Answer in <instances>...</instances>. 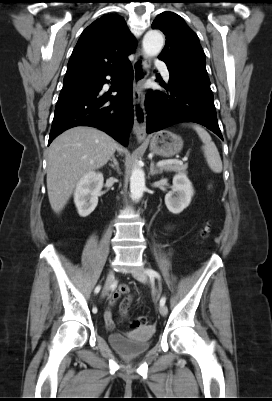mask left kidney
Wrapping results in <instances>:
<instances>
[{
    "instance_id": "left-kidney-1",
    "label": "left kidney",
    "mask_w": 272,
    "mask_h": 401,
    "mask_svg": "<svg viewBox=\"0 0 272 401\" xmlns=\"http://www.w3.org/2000/svg\"><path fill=\"white\" fill-rule=\"evenodd\" d=\"M192 183L185 174H176L173 178L172 190L165 195L167 209L173 214L181 213L187 208L193 197Z\"/></svg>"
}]
</instances>
